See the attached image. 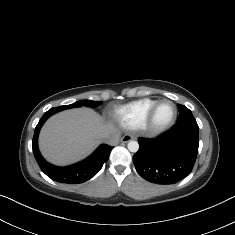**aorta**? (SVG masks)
Instances as JSON below:
<instances>
[{
  "label": "aorta",
  "instance_id": "aorta-1",
  "mask_svg": "<svg viewBox=\"0 0 235 235\" xmlns=\"http://www.w3.org/2000/svg\"><path fill=\"white\" fill-rule=\"evenodd\" d=\"M127 147L130 152H137L139 149V144L137 141L130 140L127 144Z\"/></svg>",
  "mask_w": 235,
  "mask_h": 235
}]
</instances>
